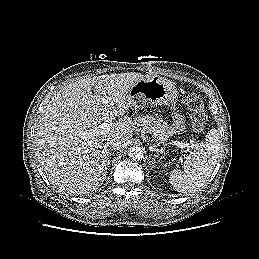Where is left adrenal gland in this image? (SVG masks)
I'll list each match as a JSON object with an SVG mask.
<instances>
[{
    "label": "left adrenal gland",
    "mask_w": 259,
    "mask_h": 259,
    "mask_svg": "<svg viewBox=\"0 0 259 259\" xmlns=\"http://www.w3.org/2000/svg\"><path fill=\"white\" fill-rule=\"evenodd\" d=\"M152 163H153V164H155V163H156L155 157H153V161H152Z\"/></svg>",
    "instance_id": "a2214340"
}]
</instances>
